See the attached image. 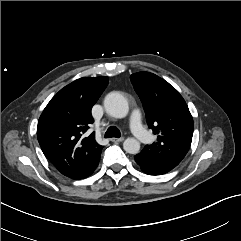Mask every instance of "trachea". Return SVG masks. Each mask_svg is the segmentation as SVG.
<instances>
[{
    "instance_id": "trachea-1",
    "label": "trachea",
    "mask_w": 241,
    "mask_h": 241,
    "mask_svg": "<svg viewBox=\"0 0 241 241\" xmlns=\"http://www.w3.org/2000/svg\"><path fill=\"white\" fill-rule=\"evenodd\" d=\"M120 136L121 133L115 126H110L105 133V138H120Z\"/></svg>"
}]
</instances>
